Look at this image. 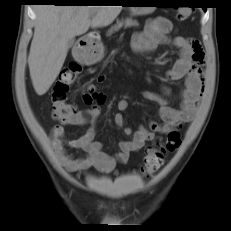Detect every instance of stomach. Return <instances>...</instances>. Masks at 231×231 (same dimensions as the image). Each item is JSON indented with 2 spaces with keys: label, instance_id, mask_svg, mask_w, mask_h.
I'll list each match as a JSON object with an SVG mask.
<instances>
[{
  "label": "stomach",
  "instance_id": "obj_1",
  "mask_svg": "<svg viewBox=\"0 0 231 231\" xmlns=\"http://www.w3.org/2000/svg\"><path fill=\"white\" fill-rule=\"evenodd\" d=\"M138 4H157L155 0H138L133 1ZM156 7H130V11L133 15H146L152 13ZM104 53L103 44L97 41L95 45L90 46L84 53L83 62L86 64H94L99 61Z\"/></svg>",
  "mask_w": 231,
  "mask_h": 231
}]
</instances>
